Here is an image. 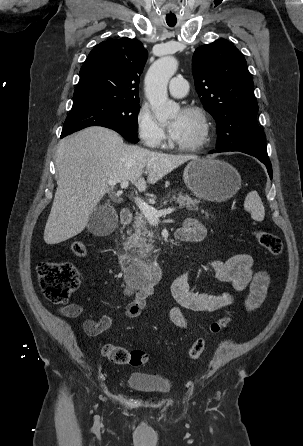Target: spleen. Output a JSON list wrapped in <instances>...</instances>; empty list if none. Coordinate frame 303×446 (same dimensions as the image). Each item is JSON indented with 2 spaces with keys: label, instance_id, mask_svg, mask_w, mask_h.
Here are the masks:
<instances>
[{
  "label": "spleen",
  "instance_id": "3e777b00",
  "mask_svg": "<svg viewBox=\"0 0 303 446\" xmlns=\"http://www.w3.org/2000/svg\"><path fill=\"white\" fill-rule=\"evenodd\" d=\"M244 208L250 212L251 218L255 221H263L265 209L257 191H251L245 198Z\"/></svg>",
  "mask_w": 303,
  "mask_h": 446
}]
</instances>
